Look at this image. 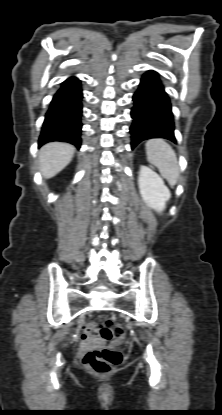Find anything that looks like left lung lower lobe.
I'll return each instance as SVG.
<instances>
[{"label": "left lung lower lobe", "mask_w": 222, "mask_h": 415, "mask_svg": "<svg viewBox=\"0 0 222 415\" xmlns=\"http://www.w3.org/2000/svg\"><path fill=\"white\" fill-rule=\"evenodd\" d=\"M133 101V123L130 127L132 149L150 138L176 142L170 99L156 70H149L142 76Z\"/></svg>", "instance_id": "obj_1"}]
</instances>
